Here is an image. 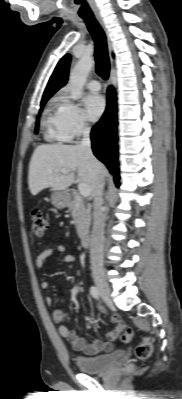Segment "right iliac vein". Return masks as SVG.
Masks as SVG:
<instances>
[{"instance_id": "63e3f726", "label": "right iliac vein", "mask_w": 182, "mask_h": 399, "mask_svg": "<svg viewBox=\"0 0 182 399\" xmlns=\"http://www.w3.org/2000/svg\"><path fill=\"white\" fill-rule=\"evenodd\" d=\"M94 282L98 288V291L106 302L110 300V289L108 284L106 283L103 274H96L94 275Z\"/></svg>"}]
</instances>
